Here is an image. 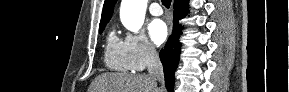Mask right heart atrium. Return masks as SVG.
Returning a JSON list of instances; mask_svg holds the SVG:
<instances>
[{
    "mask_svg": "<svg viewBox=\"0 0 289 92\" xmlns=\"http://www.w3.org/2000/svg\"><path fill=\"white\" fill-rule=\"evenodd\" d=\"M127 63L133 71H141L157 59V51L143 33H128L124 40Z\"/></svg>",
    "mask_w": 289,
    "mask_h": 92,
    "instance_id": "d8ad5b80",
    "label": "right heart atrium"
}]
</instances>
